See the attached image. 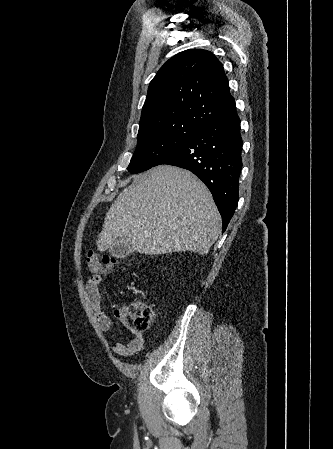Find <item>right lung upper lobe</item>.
Here are the masks:
<instances>
[{
	"label": "right lung upper lobe",
	"instance_id": "cb5924a9",
	"mask_svg": "<svg viewBox=\"0 0 333 449\" xmlns=\"http://www.w3.org/2000/svg\"><path fill=\"white\" fill-rule=\"evenodd\" d=\"M236 108L221 62L191 49L170 58L150 82L139 133L170 123L205 126Z\"/></svg>",
	"mask_w": 333,
	"mask_h": 449
}]
</instances>
